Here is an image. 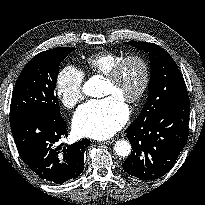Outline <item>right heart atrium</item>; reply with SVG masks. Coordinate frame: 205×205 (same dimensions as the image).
<instances>
[{"instance_id":"obj_1","label":"right heart atrium","mask_w":205,"mask_h":205,"mask_svg":"<svg viewBox=\"0 0 205 205\" xmlns=\"http://www.w3.org/2000/svg\"><path fill=\"white\" fill-rule=\"evenodd\" d=\"M84 74L73 65L65 66L57 75L55 93L62 105L73 108L82 99Z\"/></svg>"}]
</instances>
